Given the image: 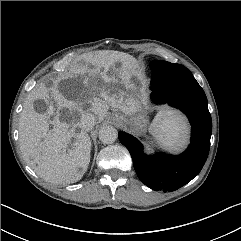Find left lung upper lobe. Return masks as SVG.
Returning <instances> with one entry per match:
<instances>
[{
    "mask_svg": "<svg viewBox=\"0 0 241 241\" xmlns=\"http://www.w3.org/2000/svg\"><path fill=\"white\" fill-rule=\"evenodd\" d=\"M150 68L159 71L166 77L168 88L172 92L197 83L192 73L180 64H172L167 61H152Z\"/></svg>",
    "mask_w": 241,
    "mask_h": 241,
    "instance_id": "left-lung-upper-lobe-1",
    "label": "left lung upper lobe"
}]
</instances>
